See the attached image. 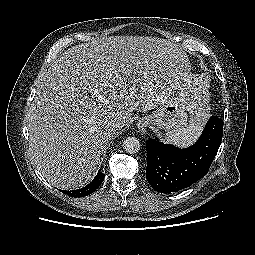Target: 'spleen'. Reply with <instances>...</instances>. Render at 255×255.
<instances>
[{
  "label": "spleen",
  "mask_w": 255,
  "mask_h": 255,
  "mask_svg": "<svg viewBox=\"0 0 255 255\" xmlns=\"http://www.w3.org/2000/svg\"><path fill=\"white\" fill-rule=\"evenodd\" d=\"M205 119L206 112L204 109L200 108L199 111L191 117L190 125L178 130L168 131L164 136L165 142L183 147L191 145L199 136Z\"/></svg>",
  "instance_id": "1"
}]
</instances>
